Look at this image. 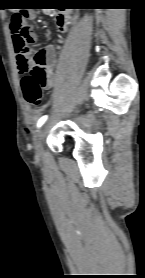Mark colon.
<instances>
[{"instance_id":"1","label":"colon","mask_w":145,"mask_h":278,"mask_svg":"<svg viewBox=\"0 0 145 278\" xmlns=\"http://www.w3.org/2000/svg\"><path fill=\"white\" fill-rule=\"evenodd\" d=\"M28 10L16 13L12 18L10 31L13 36V43L19 54H25L34 59V67L26 73L21 81V88L25 100L31 106H38L42 102V88L46 81L45 60L42 55L31 56V51L27 46L28 30L25 20L29 17Z\"/></svg>"}]
</instances>
